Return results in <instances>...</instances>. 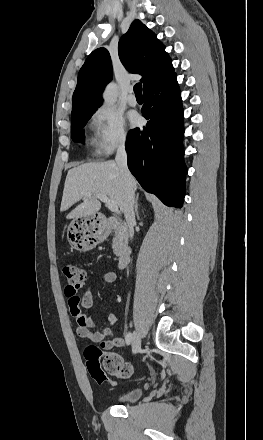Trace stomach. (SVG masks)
Segmentation results:
<instances>
[{
	"mask_svg": "<svg viewBox=\"0 0 263 440\" xmlns=\"http://www.w3.org/2000/svg\"><path fill=\"white\" fill-rule=\"evenodd\" d=\"M67 238L79 251L93 249L105 235L99 229L95 215L81 216L73 219L68 226Z\"/></svg>",
	"mask_w": 263,
	"mask_h": 440,
	"instance_id": "0dacf381",
	"label": "stomach"
}]
</instances>
